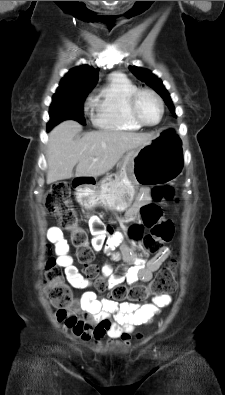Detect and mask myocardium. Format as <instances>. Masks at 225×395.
Returning <instances> with one entry per match:
<instances>
[{
  "instance_id": "obj_1",
  "label": "myocardium",
  "mask_w": 225,
  "mask_h": 395,
  "mask_svg": "<svg viewBox=\"0 0 225 395\" xmlns=\"http://www.w3.org/2000/svg\"><path fill=\"white\" fill-rule=\"evenodd\" d=\"M143 95H150L157 101V103L159 105L160 115H159L158 121L155 123L145 122L140 117V115L138 113V101H139L140 97ZM128 111H129L131 118L141 127H154V126H157L158 124H160L163 119L164 102H163L162 98L159 96V94H157L155 91L148 89V88H140L131 94V96L128 100Z\"/></svg>"
}]
</instances>
